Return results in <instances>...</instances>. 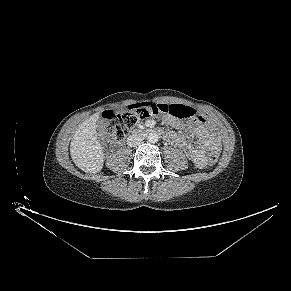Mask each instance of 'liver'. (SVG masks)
I'll return each mask as SVG.
<instances>
[{
	"instance_id": "liver-1",
	"label": "liver",
	"mask_w": 291,
	"mask_h": 291,
	"mask_svg": "<svg viewBox=\"0 0 291 291\" xmlns=\"http://www.w3.org/2000/svg\"><path fill=\"white\" fill-rule=\"evenodd\" d=\"M99 113L91 115L75 132L70 154L75 165L87 173H98L103 168L104 153L98 139L96 124Z\"/></svg>"
}]
</instances>
